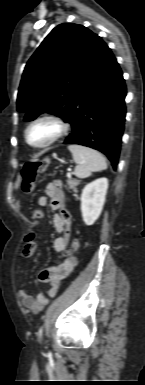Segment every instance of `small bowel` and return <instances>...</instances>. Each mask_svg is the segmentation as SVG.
<instances>
[{
	"label": "small bowel",
	"mask_w": 145,
	"mask_h": 385,
	"mask_svg": "<svg viewBox=\"0 0 145 385\" xmlns=\"http://www.w3.org/2000/svg\"><path fill=\"white\" fill-rule=\"evenodd\" d=\"M38 205L40 207L50 206L54 211H56L53 218L56 233V238L53 242V249L56 252H62L67 247L69 242L71 220L70 214L65 207L60 182L54 181L47 185L45 195L38 198ZM73 269L74 263L71 260H64L57 266L43 269L39 273V279L40 281L49 284L47 292L48 296L44 293L32 295L27 290L21 289L18 292L21 305L32 313L40 312L49 303L48 297L55 296L60 284L70 275Z\"/></svg>",
	"instance_id": "1"
}]
</instances>
